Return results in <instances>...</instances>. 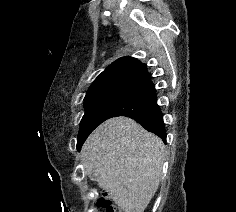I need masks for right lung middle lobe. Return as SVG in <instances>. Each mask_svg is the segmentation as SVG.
Masks as SVG:
<instances>
[{"label":"right lung middle lobe","mask_w":236,"mask_h":212,"mask_svg":"<svg viewBox=\"0 0 236 212\" xmlns=\"http://www.w3.org/2000/svg\"><path fill=\"white\" fill-rule=\"evenodd\" d=\"M131 90L116 91L84 99L85 114L77 137L80 150L89 134L103 121L110 118L117 107L128 97Z\"/></svg>","instance_id":"1"}]
</instances>
